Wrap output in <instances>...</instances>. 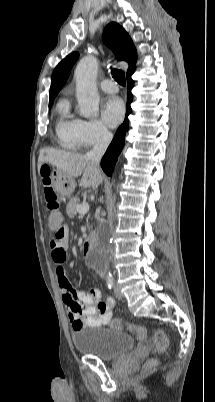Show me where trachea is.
<instances>
[{
  "instance_id": "1",
  "label": "trachea",
  "mask_w": 215,
  "mask_h": 402,
  "mask_svg": "<svg viewBox=\"0 0 215 402\" xmlns=\"http://www.w3.org/2000/svg\"><path fill=\"white\" fill-rule=\"evenodd\" d=\"M112 77L117 81L120 85L125 86V74L120 69H111Z\"/></svg>"
}]
</instances>
